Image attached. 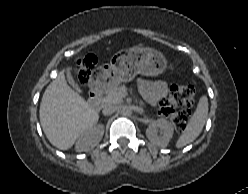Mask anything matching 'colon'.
<instances>
[{"instance_id": "5ec220e1", "label": "colon", "mask_w": 248, "mask_h": 194, "mask_svg": "<svg viewBox=\"0 0 248 194\" xmlns=\"http://www.w3.org/2000/svg\"><path fill=\"white\" fill-rule=\"evenodd\" d=\"M95 73V59L90 57L80 62L75 70L77 81L86 85ZM195 103V88L192 85H174L169 96L161 103L160 113L168 118L177 131H183L190 120V108Z\"/></svg>"}]
</instances>
